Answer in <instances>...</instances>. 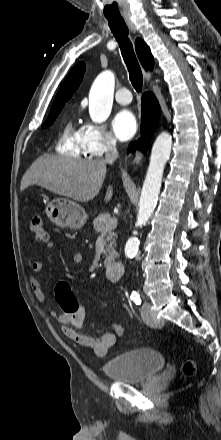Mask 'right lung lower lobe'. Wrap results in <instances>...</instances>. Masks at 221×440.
I'll list each match as a JSON object with an SVG mask.
<instances>
[{
    "label": "right lung lower lobe",
    "instance_id": "98d812e1",
    "mask_svg": "<svg viewBox=\"0 0 221 440\" xmlns=\"http://www.w3.org/2000/svg\"><path fill=\"white\" fill-rule=\"evenodd\" d=\"M141 107V134L143 139L131 143L128 152H132L136 150V148L145 151L147 143L158 125L160 109L158 102L152 93L147 92L142 96Z\"/></svg>",
    "mask_w": 221,
    "mask_h": 440
}]
</instances>
